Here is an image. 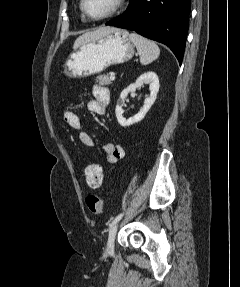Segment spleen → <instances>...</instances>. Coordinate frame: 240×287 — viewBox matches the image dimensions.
<instances>
[{
  "instance_id": "obj_1",
  "label": "spleen",
  "mask_w": 240,
  "mask_h": 287,
  "mask_svg": "<svg viewBox=\"0 0 240 287\" xmlns=\"http://www.w3.org/2000/svg\"><path fill=\"white\" fill-rule=\"evenodd\" d=\"M129 38L137 48L142 65H148L159 57L160 49L154 41L137 33H131Z\"/></svg>"
}]
</instances>
